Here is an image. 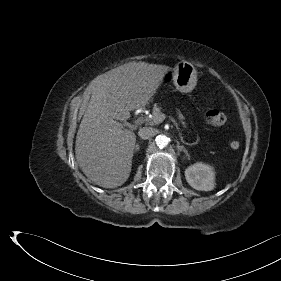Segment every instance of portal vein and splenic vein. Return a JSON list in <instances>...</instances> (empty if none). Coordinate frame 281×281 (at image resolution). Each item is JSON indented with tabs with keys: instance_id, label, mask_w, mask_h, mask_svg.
Returning <instances> with one entry per match:
<instances>
[{
	"instance_id": "18ae733b",
	"label": "portal vein and splenic vein",
	"mask_w": 281,
	"mask_h": 281,
	"mask_svg": "<svg viewBox=\"0 0 281 281\" xmlns=\"http://www.w3.org/2000/svg\"><path fill=\"white\" fill-rule=\"evenodd\" d=\"M165 118H166V117H165V115H164V114H162L159 118H157V120H156V121H158V122H162Z\"/></svg>"
}]
</instances>
